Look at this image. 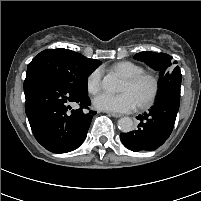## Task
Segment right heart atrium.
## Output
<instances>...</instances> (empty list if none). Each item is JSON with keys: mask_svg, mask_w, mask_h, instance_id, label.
<instances>
[{"mask_svg": "<svg viewBox=\"0 0 201 201\" xmlns=\"http://www.w3.org/2000/svg\"><path fill=\"white\" fill-rule=\"evenodd\" d=\"M102 71L101 69L93 70L86 79V88L89 94L95 95L101 89Z\"/></svg>", "mask_w": 201, "mask_h": 201, "instance_id": "obj_1", "label": "right heart atrium"}]
</instances>
